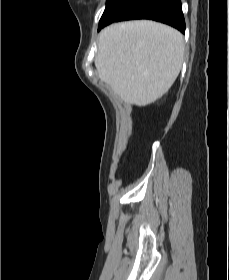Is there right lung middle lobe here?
Here are the masks:
<instances>
[{"label":"right lung middle lobe","mask_w":229,"mask_h":280,"mask_svg":"<svg viewBox=\"0 0 229 280\" xmlns=\"http://www.w3.org/2000/svg\"><path fill=\"white\" fill-rule=\"evenodd\" d=\"M116 0H107L105 11L100 19V22L105 18V16L109 13L111 8L113 7Z\"/></svg>","instance_id":"1"}]
</instances>
